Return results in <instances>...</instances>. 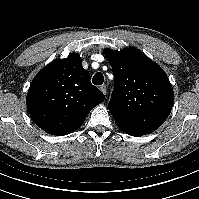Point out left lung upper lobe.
Returning <instances> with one entry per match:
<instances>
[{
	"label": "left lung upper lobe",
	"instance_id": "5c2ea615",
	"mask_svg": "<svg viewBox=\"0 0 199 199\" xmlns=\"http://www.w3.org/2000/svg\"><path fill=\"white\" fill-rule=\"evenodd\" d=\"M113 69L109 110L120 128L141 135L160 127L173 106L172 85L164 72L138 49H105Z\"/></svg>",
	"mask_w": 199,
	"mask_h": 199
}]
</instances>
